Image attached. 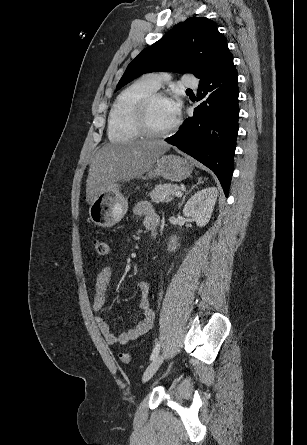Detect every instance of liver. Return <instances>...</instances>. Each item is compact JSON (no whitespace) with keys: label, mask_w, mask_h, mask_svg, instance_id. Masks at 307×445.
Wrapping results in <instances>:
<instances>
[{"label":"liver","mask_w":307,"mask_h":445,"mask_svg":"<svg viewBox=\"0 0 307 445\" xmlns=\"http://www.w3.org/2000/svg\"><path fill=\"white\" fill-rule=\"evenodd\" d=\"M171 144L163 140H130L123 144H104L97 150L90 164L86 180V202L110 190L118 180L139 178L152 168L156 158L169 150Z\"/></svg>","instance_id":"liver-1"}]
</instances>
